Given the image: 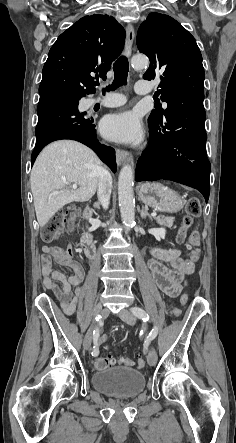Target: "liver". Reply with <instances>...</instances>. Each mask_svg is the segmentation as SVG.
Wrapping results in <instances>:
<instances>
[{"instance_id": "obj_1", "label": "liver", "mask_w": 236, "mask_h": 443, "mask_svg": "<svg viewBox=\"0 0 236 443\" xmlns=\"http://www.w3.org/2000/svg\"><path fill=\"white\" fill-rule=\"evenodd\" d=\"M101 168L98 156L79 142L60 140L46 146L37 157L30 176L40 227L66 204L90 200L98 188ZM67 183L77 184L79 188H68Z\"/></svg>"}]
</instances>
